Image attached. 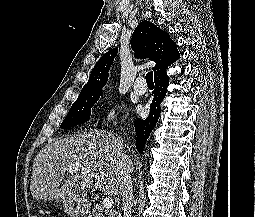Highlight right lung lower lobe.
<instances>
[{"label":"right lung lower lobe","mask_w":255,"mask_h":217,"mask_svg":"<svg viewBox=\"0 0 255 217\" xmlns=\"http://www.w3.org/2000/svg\"><path fill=\"white\" fill-rule=\"evenodd\" d=\"M154 78L156 87L152 92L154 97L150 105L149 116L145 120L137 119L134 123L137 134L136 148L139 152H143L146 141L158 121L161 113L160 103L166 95V88L169 82L166 71Z\"/></svg>","instance_id":"right-lung-lower-lobe-1"}]
</instances>
